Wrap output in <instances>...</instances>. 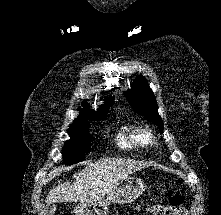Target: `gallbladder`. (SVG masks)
<instances>
[{"mask_svg":"<svg viewBox=\"0 0 221 215\" xmlns=\"http://www.w3.org/2000/svg\"><path fill=\"white\" fill-rule=\"evenodd\" d=\"M56 211V205L55 204H47L45 207V215H54Z\"/></svg>","mask_w":221,"mask_h":215,"instance_id":"obj_1","label":"gallbladder"}]
</instances>
